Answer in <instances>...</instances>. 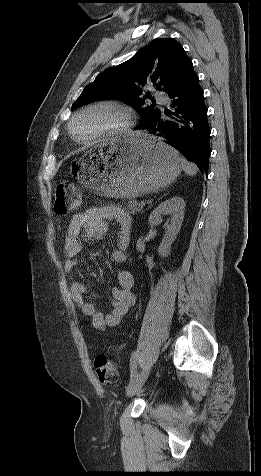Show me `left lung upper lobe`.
<instances>
[{
	"label": "left lung upper lobe",
	"mask_w": 261,
	"mask_h": 476,
	"mask_svg": "<svg viewBox=\"0 0 261 476\" xmlns=\"http://www.w3.org/2000/svg\"><path fill=\"white\" fill-rule=\"evenodd\" d=\"M191 66L190 58L177 41L154 39L131 59L101 72L84 88L72 109L91 101L119 99L138 111V129L160 113L153 105L144 107L146 97L152 99L149 93L144 95V87L153 84L169 94L180 85Z\"/></svg>",
	"instance_id": "1"
}]
</instances>
